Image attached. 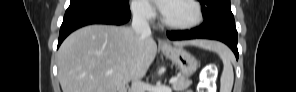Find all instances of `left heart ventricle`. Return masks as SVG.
Segmentation results:
<instances>
[{
	"label": "left heart ventricle",
	"instance_id": "left-heart-ventricle-1",
	"mask_svg": "<svg viewBox=\"0 0 296 92\" xmlns=\"http://www.w3.org/2000/svg\"><path fill=\"white\" fill-rule=\"evenodd\" d=\"M164 16L171 23L186 24L192 22L196 15L194 7L189 2L171 1Z\"/></svg>",
	"mask_w": 296,
	"mask_h": 92
}]
</instances>
